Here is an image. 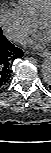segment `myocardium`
<instances>
[{
    "label": "myocardium",
    "mask_w": 51,
    "mask_h": 153,
    "mask_svg": "<svg viewBox=\"0 0 51 153\" xmlns=\"http://www.w3.org/2000/svg\"><path fill=\"white\" fill-rule=\"evenodd\" d=\"M46 20H51V7L43 11L36 21V24L40 30H43V24Z\"/></svg>",
    "instance_id": "1"
}]
</instances>
